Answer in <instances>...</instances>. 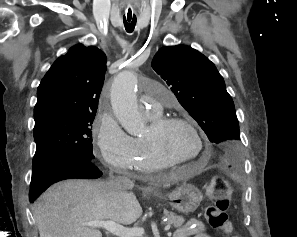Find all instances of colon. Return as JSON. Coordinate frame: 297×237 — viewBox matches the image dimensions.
Returning <instances> with one entry per match:
<instances>
[{
    "label": "colon",
    "mask_w": 297,
    "mask_h": 237,
    "mask_svg": "<svg viewBox=\"0 0 297 237\" xmlns=\"http://www.w3.org/2000/svg\"><path fill=\"white\" fill-rule=\"evenodd\" d=\"M212 204L206 209V219L211 228L219 230L231 237H241L233 234V225L228 218V210L232 200V188L224 177L216 178L209 187Z\"/></svg>",
    "instance_id": "obj_1"
}]
</instances>
